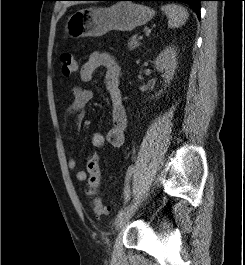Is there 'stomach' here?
Segmentation results:
<instances>
[{
  "label": "stomach",
  "mask_w": 245,
  "mask_h": 265,
  "mask_svg": "<svg viewBox=\"0 0 245 265\" xmlns=\"http://www.w3.org/2000/svg\"><path fill=\"white\" fill-rule=\"evenodd\" d=\"M155 15L148 6L133 2H118L110 7H87L74 12L67 20L65 30L75 39L98 37L108 31H132L145 25Z\"/></svg>",
  "instance_id": "stomach-1"
}]
</instances>
